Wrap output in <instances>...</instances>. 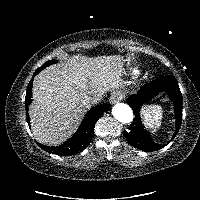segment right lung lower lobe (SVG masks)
<instances>
[{
    "label": "right lung lower lobe",
    "instance_id": "right-lung-lower-lobe-1",
    "mask_svg": "<svg viewBox=\"0 0 200 200\" xmlns=\"http://www.w3.org/2000/svg\"><path fill=\"white\" fill-rule=\"evenodd\" d=\"M34 76L35 75H33V77ZM32 84H33V78L30 80L27 86L26 97H25L26 111H28V106L31 103ZM109 108H110L109 105L106 104H102L92 108L85 116L83 122L81 123V126L74 134V136L71 137L69 140H67L65 143H63L62 145L56 147H49L42 145L40 143H38V145L43 150L48 151L49 153L62 156L73 155L84 150L92 139L95 123L105 111L109 110ZM26 118L28 124H30L29 115L27 113H26Z\"/></svg>",
    "mask_w": 200,
    "mask_h": 200
}]
</instances>
